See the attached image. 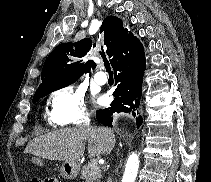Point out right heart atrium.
I'll return each mask as SVG.
<instances>
[{
  "mask_svg": "<svg viewBox=\"0 0 211 182\" xmlns=\"http://www.w3.org/2000/svg\"><path fill=\"white\" fill-rule=\"evenodd\" d=\"M50 106L49 118L57 126L82 124L89 117L84 94L73 87H64L53 92Z\"/></svg>",
  "mask_w": 211,
  "mask_h": 182,
  "instance_id": "right-heart-atrium-1",
  "label": "right heart atrium"
}]
</instances>
